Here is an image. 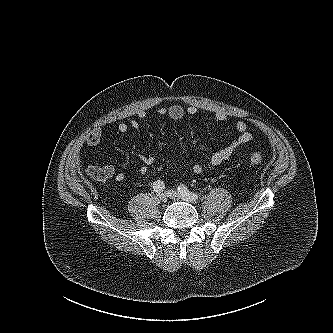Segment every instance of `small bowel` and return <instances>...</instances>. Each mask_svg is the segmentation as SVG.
I'll use <instances>...</instances> for the list:
<instances>
[{"label": "small bowel", "mask_w": 333, "mask_h": 333, "mask_svg": "<svg viewBox=\"0 0 333 333\" xmlns=\"http://www.w3.org/2000/svg\"><path fill=\"white\" fill-rule=\"evenodd\" d=\"M157 113L160 117H169L174 121H179L183 119L185 115L193 116L197 113V108L194 106H188L183 108L181 105L173 104L170 106H160L157 109ZM143 116V115H139ZM215 119L217 121L223 122L226 116L222 112L215 113ZM139 127V123L136 120H132L129 123L119 122L117 125V130L124 134L129 129L136 130ZM235 130L237 132V137L227 146L214 151L208 162L206 164L196 163L192 167V171L195 174L203 173L207 168L216 167L229 160L236 149L253 139L252 133L248 129V125L244 121H238L235 124ZM103 139V132L100 128L93 129L86 137V143L91 146H97L101 143ZM140 160L142 165L139 168V173L145 175L148 173L150 166L154 163L155 158L151 155L141 154ZM77 164V163H76ZM88 176L96 181H107L110 179H115L116 181H123L125 179V174L122 171H116L113 165L105 166H90L86 170Z\"/></svg>", "instance_id": "small-bowel-1"}]
</instances>
